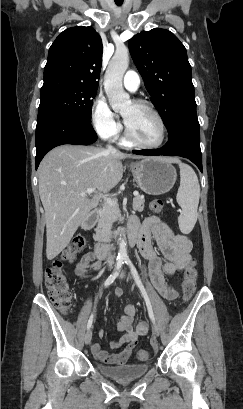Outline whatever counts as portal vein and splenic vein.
I'll use <instances>...</instances> for the list:
<instances>
[{
    "mask_svg": "<svg viewBox=\"0 0 243 409\" xmlns=\"http://www.w3.org/2000/svg\"><path fill=\"white\" fill-rule=\"evenodd\" d=\"M94 192H95V189H94V188H87L86 190L82 191V192L79 193L78 195H79V196H87V195L93 194ZM137 195H138V193H137V192H134V196H137ZM100 197H102L107 204H109V205H111V206H115V205H116V202H115L114 200H112L111 198H108L107 196H105V195H103V194H100Z\"/></svg>",
    "mask_w": 243,
    "mask_h": 409,
    "instance_id": "18ae733b",
    "label": "portal vein and splenic vein"
}]
</instances>
